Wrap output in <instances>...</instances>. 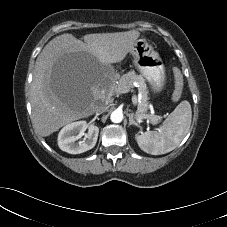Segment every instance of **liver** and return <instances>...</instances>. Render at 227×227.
Returning a JSON list of instances; mask_svg holds the SVG:
<instances>
[{
	"instance_id": "6515ba94",
	"label": "liver",
	"mask_w": 227,
	"mask_h": 227,
	"mask_svg": "<svg viewBox=\"0 0 227 227\" xmlns=\"http://www.w3.org/2000/svg\"><path fill=\"white\" fill-rule=\"evenodd\" d=\"M139 36L137 30L95 33L85 35L83 42L67 33L48 42L36 59L31 85L32 123L36 132L46 137L70 122L93 114L96 100L103 92H108L103 78L96 73L97 63L107 65L121 62ZM67 52L84 53L95 66L92 81L86 85L83 94L72 101L57 98L51 90L49 79L52 65Z\"/></svg>"
}]
</instances>
